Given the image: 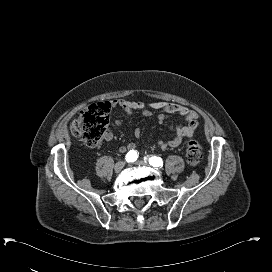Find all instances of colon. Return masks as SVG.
Segmentation results:
<instances>
[{
    "instance_id": "1",
    "label": "colon",
    "mask_w": 272,
    "mask_h": 272,
    "mask_svg": "<svg viewBox=\"0 0 272 272\" xmlns=\"http://www.w3.org/2000/svg\"><path fill=\"white\" fill-rule=\"evenodd\" d=\"M110 108L109 102H97L81 110L70 125V133L88 146H96L109 126ZM185 155L188 164L195 166L200 163L202 150L198 141L191 139L187 142Z\"/></svg>"
}]
</instances>
